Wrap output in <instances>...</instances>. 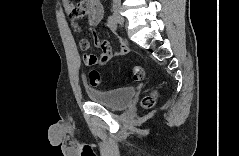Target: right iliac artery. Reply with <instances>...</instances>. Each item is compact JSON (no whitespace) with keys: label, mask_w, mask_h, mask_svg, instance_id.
Masks as SVG:
<instances>
[{"label":"right iliac artery","mask_w":239,"mask_h":156,"mask_svg":"<svg viewBox=\"0 0 239 156\" xmlns=\"http://www.w3.org/2000/svg\"><path fill=\"white\" fill-rule=\"evenodd\" d=\"M108 24L112 30H117V21L114 16L110 15L108 17Z\"/></svg>","instance_id":"82829eb1"}]
</instances>
